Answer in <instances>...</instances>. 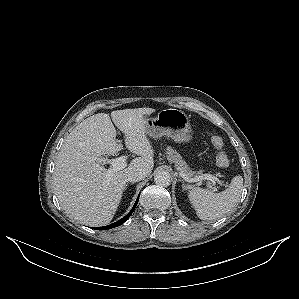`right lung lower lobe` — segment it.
<instances>
[{"mask_svg": "<svg viewBox=\"0 0 299 299\" xmlns=\"http://www.w3.org/2000/svg\"><path fill=\"white\" fill-rule=\"evenodd\" d=\"M138 200H139V197L137 198V200H136L133 208L131 209V211L126 216H124L122 219L118 220L117 222H115L113 224L103 226V227H98V228H95V229L96 230H106V229H111V228H114V227H117V226L123 224L131 216V214L133 213V211H134V209L137 205Z\"/></svg>", "mask_w": 299, "mask_h": 299, "instance_id": "right-lung-lower-lobe-1", "label": "right lung lower lobe"}]
</instances>
